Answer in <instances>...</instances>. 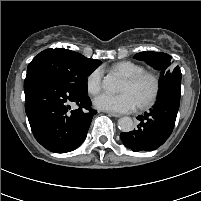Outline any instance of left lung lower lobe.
Masks as SVG:
<instances>
[{
    "mask_svg": "<svg viewBox=\"0 0 201 201\" xmlns=\"http://www.w3.org/2000/svg\"><path fill=\"white\" fill-rule=\"evenodd\" d=\"M180 87L171 86L159 94L156 104L139 115L137 129L121 133L123 144L134 152L152 151L163 145L171 135L180 104Z\"/></svg>",
    "mask_w": 201,
    "mask_h": 201,
    "instance_id": "1",
    "label": "left lung lower lobe"
}]
</instances>
